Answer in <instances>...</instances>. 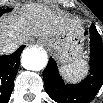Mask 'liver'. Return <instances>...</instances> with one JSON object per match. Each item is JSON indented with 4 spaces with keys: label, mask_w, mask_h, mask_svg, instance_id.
I'll return each instance as SVG.
<instances>
[{
    "label": "liver",
    "mask_w": 103,
    "mask_h": 103,
    "mask_svg": "<svg viewBox=\"0 0 103 103\" xmlns=\"http://www.w3.org/2000/svg\"><path fill=\"white\" fill-rule=\"evenodd\" d=\"M80 28L79 24L65 15L56 14L41 4L29 3L18 15L1 21L0 40L1 45L13 42L18 48L31 36L53 37Z\"/></svg>",
    "instance_id": "obj_1"
}]
</instances>
